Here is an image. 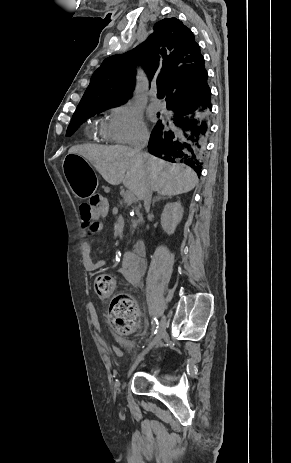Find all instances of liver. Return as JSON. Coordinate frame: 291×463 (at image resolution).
<instances>
[{
  "mask_svg": "<svg viewBox=\"0 0 291 463\" xmlns=\"http://www.w3.org/2000/svg\"><path fill=\"white\" fill-rule=\"evenodd\" d=\"M90 161L111 185H123L139 199L145 183L160 195H179L198 183L196 173L181 164L168 163L148 153L139 156L128 146L77 145L68 151Z\"/></svg>",
  "mask_w": 291,
  "mask_h": 463,
  "instance_id": "1",
  "label": "liver"
}]
</instances>
